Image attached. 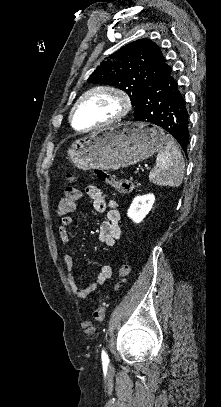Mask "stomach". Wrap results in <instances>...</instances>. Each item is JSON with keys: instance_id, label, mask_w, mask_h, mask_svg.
<instances>
[{"instance_id": "stomach-1", "label": "stomach", "mask_w": 221, "mask_h": 407, "mask_svg": "<svg viewBox=\"0 0 221 407\" xmlns=\"http://www.w3.org/2000/svg\"><path fill=\"white\" fill-rule=\"evenodd\" d=\"M164 137L162 129L148 123H122L76 139L67 150L68 159L81 170H118L160 151Z\"/></svg>"}]
</instances>
